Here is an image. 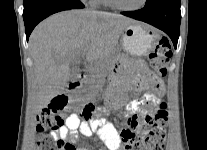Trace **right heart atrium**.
<instances>
[{
  "mask_svg": "<svg viewBox=\"0 0 207 150\" xmlns=\"http://www.w3.org/2000/svg\"><path fill=\"white\" fill-rule=\"evenodd\" d=\"M86 1H90L91 3L93 2V0H86Z\"/></svg>",
  "mask_w": 207,
  "mask_h": 150,
  "instance_id": "1",
  "label": "right heart atrium"
}]
</instances>
